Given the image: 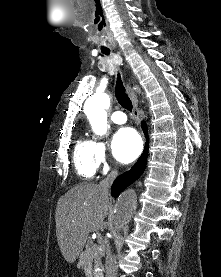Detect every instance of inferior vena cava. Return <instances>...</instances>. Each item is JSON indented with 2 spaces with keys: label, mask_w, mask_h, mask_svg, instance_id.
<instances>
[{
  "label": "inferior vena cava",
  "mask_w": 221,
  "mask_h": 277,
  "mask_svg": "<svg viewBox=\"0 0 221 277\" xmlns=\"http://www.w3.org/2000/svg\"><path fill=\"white\" fill-rule=\"evenodd\" d=\"M118 175L117 170H112L107 177L102 180L99 184V187L105 194H109V189L115 180V178ZM105 269H106V277H117V271H118V266H117V261L115 255L112 254L110 246L107 247L106 249V264H105Z\"/></svg>",
  "instance_id": "1"
}]
</instances>
